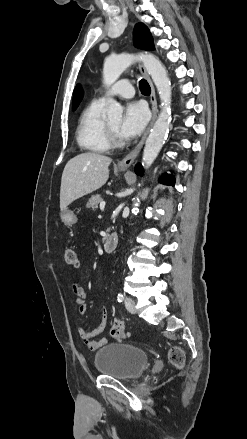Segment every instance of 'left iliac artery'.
<instances>
[{"mask_svg":"<svg viewBox=\"0 0 247 439\" xmlns=\"http://www.w3.org/2000/svg\"><path fill=\"white\" fill-rule=\"evenodd\" d=\"M123 299H124V295L122 293H119L118 296H117L118 302H122Z\"/></svg>","mask_w":247,"mask_h":439,"instance_id":"44dca946","label":"left iliac artery"}]
</instances>
